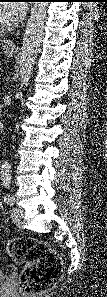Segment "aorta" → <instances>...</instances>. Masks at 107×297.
<instances>
[{
  "instance_id": "obj_1",
  "label": "aorta",
  "mask_w": 107,
  "mask_h": 297,
  "mask_svg": "<svg viewBox=\"0 0 107 297\" xmlns=\"http://www.w3.org/2000/svg\"><path fill=\"white\" fill-rule=\"evenodd\" d=\"M47 7L48 2H35L31 8L30 17L26 25L19 61V75L23 90L31 78L38 50L42 42Z\"/></svg>"
}]
</instances>
